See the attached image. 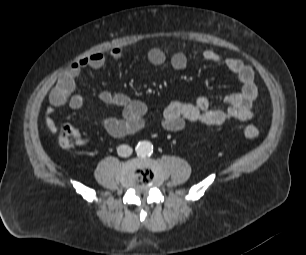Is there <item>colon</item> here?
<instances>
[{
    "label": "colon",
    "mask_w": 306,
    "mask_h": 255,
    "mask_svg": "<svg viewBox=\"0 0 306 255\" xmlns=\"http://www.w3.org/2000/svg\"><path fill=\"white\" fill-rule=\"evenodd\" d=\"M244 135L249 139H254L258 137L259 130L254 125H247L244 128ZM81 142V134L79 130L70 124L62 125L59 136L58 143L62 149H70L78 145Z\"/></svg>",
    "instance_id": "obj_1"
}]
</instances>
